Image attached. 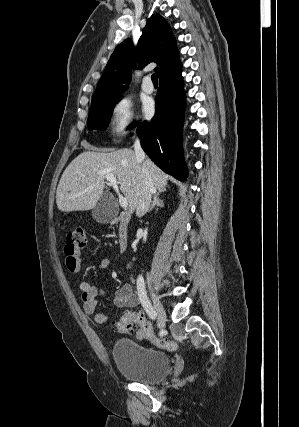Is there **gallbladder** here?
Here are the masks:
<instances>
[{
  "label": "gallbladder",
  "instance_id": "gallbladder-1",
  "mask_svg": "<svg viewBox=\"0 0 299 427\" xmlns=\"http://www.w3.org/2000/svg\"><path fill=\"white\" fill-rule=\"evenodd\" d=\"M119 210L114 196L106 191L101 196L96 206L92 209L93 219L101 224L110 223L116 219Z\"/></svg>",
  "mask_w": 299,
  "mask_h": 427
}]
</instances>
